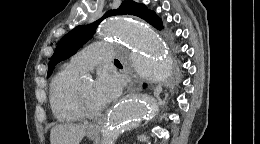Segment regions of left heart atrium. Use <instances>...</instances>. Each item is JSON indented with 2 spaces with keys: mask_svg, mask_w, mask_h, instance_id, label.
Returning a JSON list of instances; mask_svg holds the SVG:
<instances>
[{
  "mask_svg": "<svg viewBox=\"0 0 260 144\" xmlns=\"http://www.w3.org/2000/svg\"><path fill=\"white\" fill-rule=\"evenodd\" d=\"M121 89V81L115 74L102 72L95 82L94 93L101 107H104L119 96Z\"/></svg>",
  "mask_w": 260,
  "mask_h": 144,
  "instance_id": "39dd6f15",
  "label": "left heart atrium"
}]
</instances>
